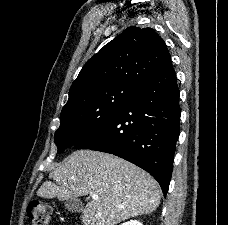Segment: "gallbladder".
I'll use <instances>...</instances> for the list:
<instances>
[{
    "instance_id": "1",
    "label": "gallbladder",
    "mask_w": 228,
    "mask_h": 225,
    "mask_svg": "<svg viewBox=\"0 0 228 225\" xmlns=\"http://www.w3.org/2000/svg\"><path fill=\"white\" fill-rule=\"evenodd\" d=\"M64 207L67 211H71V213H82L84 207L83 203H81L78 197H74V199H68V201H64Z\"/></svg>"
}]
</instances>
